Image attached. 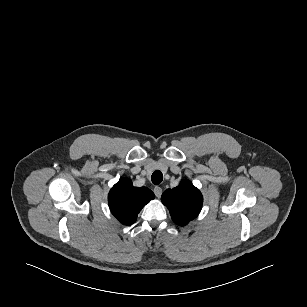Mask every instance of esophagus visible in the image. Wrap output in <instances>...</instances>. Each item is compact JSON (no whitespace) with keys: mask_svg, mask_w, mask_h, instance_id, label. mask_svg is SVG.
<instances>
[{"mask_svg":"<svg viewBox=\"0 0 307 307\" xmlns=\"http://www.w3.org/2000/svg\"><path fill=\"white\" fill-rule=\"evenodd\" d=\"M153 191H154L156 197H158V198L161 197V195H162V188L161 187L155 186Z\"/></svg>","mask_w":307,"mask_h":307,"instance_id":"1","label":"esophagus"}]
</instances>
